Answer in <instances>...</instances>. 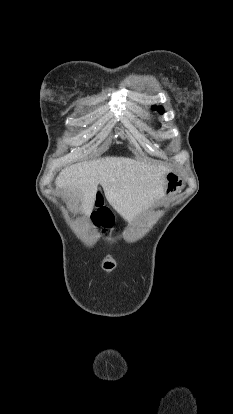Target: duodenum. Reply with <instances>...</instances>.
Here are the masks:
<instances>
[{
	"label": "duodenum",
	"mask_w": 233,
	"mask_h": 414,
	"mask_svg": "<svg viewBox=\"0 0 233 414\" xmlns=\"http://www.w3.org/2000/svg\"><path fill=\"white\" fill-rule=\"evenodd\" d=\"M97 192L98 193H101L102 191L101 190H98ZM97 206H99V210L100 211H107L108 210V205L102 199L99 200V201H97Z\"/></svg>",
	"instance_id": "1"
}]
</instances>
